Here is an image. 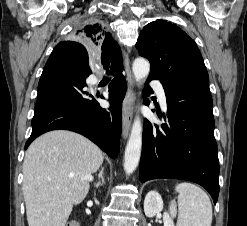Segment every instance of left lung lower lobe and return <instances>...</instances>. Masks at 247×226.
Returning <instances> with one entry per match:
<instances>
[{
    "label": "left lung lower lobe",
    "instance_id": "1",
    "mask_svg": "<svg viewBox=\"0 0 247 226\" xmlns=\"http://www.w3.org/2000/svg\"><path fill=\"white\" fill-rule=\"evenodd\" d=\"M153 79L158 78L149 76L148 82ZM148 82L145 97L152 93ZM163 88L167 100V123L159 127L145 120L140 181L189 180L203 186L216 204L219 161L209 82L185 76L163 85ZM144 103L148 105L149 101L146 99Z\"/></svg>",
    "mask_w": 247,
    "mask_h": 226
}]
</instances>
